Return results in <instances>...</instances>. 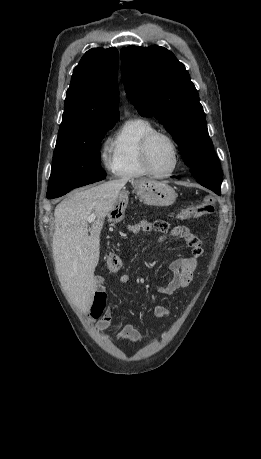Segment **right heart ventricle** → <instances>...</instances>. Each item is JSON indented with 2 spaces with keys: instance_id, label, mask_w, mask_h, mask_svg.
Segmentation results:
<instances>
[{
  "instance_id": "obj_1",
  "label": "right heart ventricle",
  "mask_w": 261,
  "mask_h": 459,
  "mask_svg": "<svg viewBox=\"0 0 261 459\" xmlns=\"http://www.w3.org/2000/svg\"><path fill=\"white\" fill-rule=\"evenodd\" d=\"M156 131L147 119H133L127 122L110 144L114 173L121 178L147 175L141 160V144L151 132Z\"/></svg>"
}]
</instances>
